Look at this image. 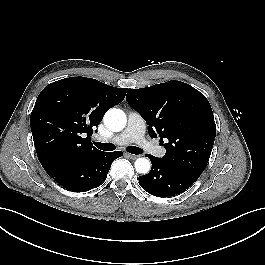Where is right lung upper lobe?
<instances>
[{
    "label": "right lung upper lobe",
    "instance_id": "cb5924a9",
    "mask_svg": "<svg viewBox=\"0 0 265 265\" xmlns=\"http://www.w3.org/2000/svg\"><path fill=\"white\" fill-rule=\"evenodd\" d=\"M127 89L96 79L70 77L47 85L30 117L38 159L46 170L58 164L96 155L89 137L104 113L125 98Z\"/></svg>",
    "mask_w": 265,
    "mask_h": 265
}]
</instances>
